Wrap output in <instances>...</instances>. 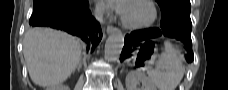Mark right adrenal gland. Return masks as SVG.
Here are the masks:
<instances>
[{
  "mask_svg": "<svg viewBox=\"0 0 228 90\" xmlns=\"http://www.w3.org/2000/svg\"><path fill=\"white\" fill-rule=\"evenodd\" d=\"M81 67H82V60H80V62H79V64H78V66H77V70L78 71H80V69H81ZM75 72V70L73 71V73Z\"/></svg>",
  "mask_w": 228,
  "mask_h": 90,
  "instance_id": "right-adrenal-gland-1",
  "label": "right adrenal gland"
}]
</instances>
